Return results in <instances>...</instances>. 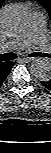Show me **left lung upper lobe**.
Segmentation results:
<instances>
[{
    "instance_id": "left-lung-upper-lobe-1",
    "label": "left lung upper lobe",
    "mask_w": 51,
    "mask_h": 153,
    "mask_svg": "<svg viewBox=\"0 0 51 153\" xmlns=\"http://www.w3.org/2000/svg\"><path fill=\"white\" fill-rule=\"evenodd\" d=\"M39 4H41L48 12L50 18H51V0H35Z\"/></svg>"
}]
</instances>
